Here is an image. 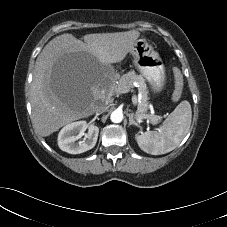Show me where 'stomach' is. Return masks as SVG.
<instances>
[{"mask_svg": "<svg viewBox=\"0 0 227 227\" xmlns=\"http://www.w3.org/2000/svg\"><path fill=\"white\" fill-rule=\"evenodd\" d=\"M130 53L133 56L135 68L150 83L152 90L159 93L163 90L166 77L164 65L159 54L146 39L136 40Z\"/></svg>", "mask_w": 227, "mask_h": 227, "instance_id": "stomach-1", "label": "stomach"}]
</instances>
